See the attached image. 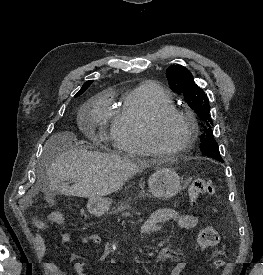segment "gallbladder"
<instances>
[{
	"label": "gallbladder",
	"instance_id": "1",
	"mask_svg": "<svg viewBox=\"0 0 263 275\" xmlns=\"http://www.w3.org/2000/svg\"><path fill=\"white\" fill-rule=\"evenodd\" d=\"M54 197H55V193L48 192L45 199L49 204L54 205L55 204Z\"/></svg>",
	"mask_w": 263,
	"mask_h": 275
}]
</instances>
